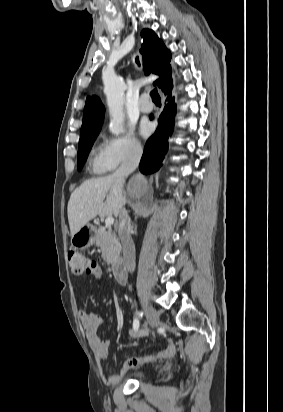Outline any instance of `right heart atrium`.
Wrapping results in <instances>:
<instances>
[{
  "label": "right heart atrium",
  "mask_w": 283,
  "mask_h": 412,
  "mask_svg": "<svg viewBox=\"0 0 283 412\" xmlns=\"http://www.w3.org/2000/svg\"><path fill=\"white\" fill-rule=\"evenodd\" d=\"M142 150V144L131 133L109 136L102 146V161L108 170H112L138 159Z\"/></svg>",
  "instance_id": "right-heart-atrium-1"
}]
</instances>
